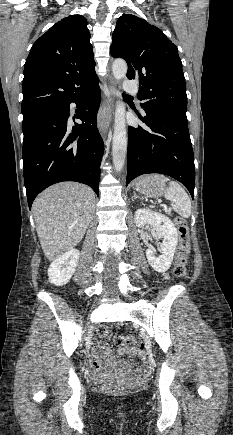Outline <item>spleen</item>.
<instances>
[{"label":"spleen","instance_id":"obj_1","mask_svg":"<svg viewBox=\"0 0 233 435\" xmlns=\"http://www.w3.org/2000/svg\"><path fill=\"white\" fill-rule=\"evenodd\" d=\"M165 198L173 203L176 213L184 218L191 215V201L186 191L175 181L169 182V187L165 191Z\"/></svg>","mask_w":233,"mask_h":435}]
</instances>
